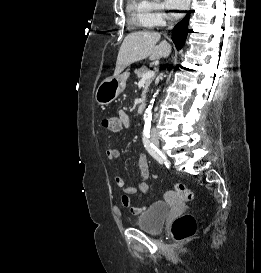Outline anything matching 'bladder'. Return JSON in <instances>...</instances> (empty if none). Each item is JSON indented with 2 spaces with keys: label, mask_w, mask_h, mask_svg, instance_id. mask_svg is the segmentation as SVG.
<instances>
[{
  "label": "bladder",
  "mask_w": 261,
  "mask_h": 273,
  "mask_svg": "<svg viewBox=\"0 0 261 273\" xmlns=\"http://www.w3.org/2000/svg\"><path fill=\"white\" fill-rule=\"evenodd\" d=\"M170 209V204L165 201L153 202L139 215L136 224L146 232H160L164 227Z\"/></svg>",
  "instance_id": "obj_1"
}]
</instances>
